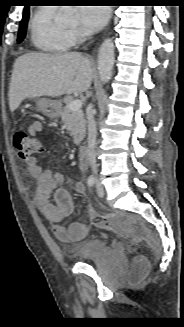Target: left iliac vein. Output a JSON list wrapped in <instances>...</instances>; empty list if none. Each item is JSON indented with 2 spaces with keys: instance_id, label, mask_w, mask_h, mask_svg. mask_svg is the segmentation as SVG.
Masks as SVG:
<instances>
[{
  "instance_id": "left-iliac-vein-1",
  "label": "left iliac vein",
  "mask_w": 184,
  "mask_h": 327,
  "mask_svg": "<svg viewBox=\"0 0 184 327\" xmlns=\"http://www.w3.org/2000/svg\"><path fill=\"white\" fill-rule=\"evenodd\" d=\"M97 194L99 197L104 196V189L100 183H97Z\"/></svg>"
}]
</instances>
